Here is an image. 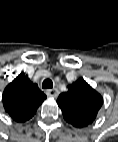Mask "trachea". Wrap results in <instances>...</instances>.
<instances>
[{"instance_id":"obj_1","label":"trachea","mask_w":118,"mask_h":142,"mask_svg":"<svg viewBox=\"0 0 118 142\" xmlns=\"http://www.w3.org/2000/svg\"><path fill=\"white\" fill-rule=\"evenodd\" d=\"M53 87V82L51 79H45L42 83L43 89H51Z\"/></svg>"}]
</instances>
